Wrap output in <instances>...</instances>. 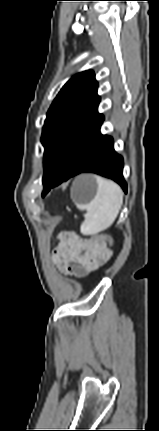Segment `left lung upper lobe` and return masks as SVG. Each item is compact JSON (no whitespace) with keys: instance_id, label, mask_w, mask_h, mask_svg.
<instances>
[{"instance_id":"5c2ea615","label":"left lung upper lobe","mask_w":159,"mask_h":431,"mask_svg":"<svg viewBox=\"0 0 159 431\" xmlns=\"http://www.w3.org/2000/svg\"><path fill=\"white\" fill-rule=\"evenodd\" d=\"M97 87L92 70L77 73L62 87L48 110L41 138L44 190L59 172L77 135L102 117L98 113Z\"/></svg>"}]
</instances>
